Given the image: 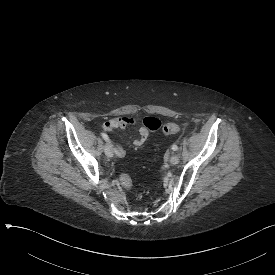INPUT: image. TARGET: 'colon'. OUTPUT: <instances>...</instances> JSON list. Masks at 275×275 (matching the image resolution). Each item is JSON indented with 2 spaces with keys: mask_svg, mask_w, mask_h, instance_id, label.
Here are the masks:
<instances>
[{
  "mask_svg": "<svg viewBox=\"0 0 275 275\" xmlns=\"http://www.w3.org/2000/svg\"><path fill=\"white\" fill-rule=\"evenodd\" d=\"M162 131L167 135L176 134L179 133L180 126L178 124L168 123L162 127ZM119 183L126 189L133 187V179L129 174H123L119 179Z\"/></svg>",
  "mask_w": 275,
  "mask_h": 275,
  "instance_id": "obj_1",
  "label": "colon"
}]
</instances>
